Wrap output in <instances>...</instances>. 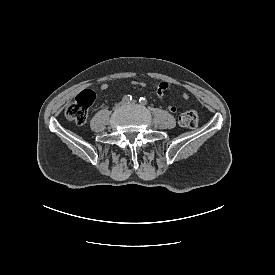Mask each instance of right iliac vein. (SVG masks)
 <instances>
[{"instance_id": "63e3f726", "label": "right iliac vein", "mask_w": 275, "mask_h": 275, "mask_svg": "<svg viewBox=\"0 0 275 275\" xmlns=\"http://www.w3.org/2000/svg\"><path fill=\"white\" fill-rule=\"evenodd\" d=\"M121 105H123V103H121V104H116V105H115V107H114V109H118V108H120V107H121Z\"/></svg>"}]
</instances>
